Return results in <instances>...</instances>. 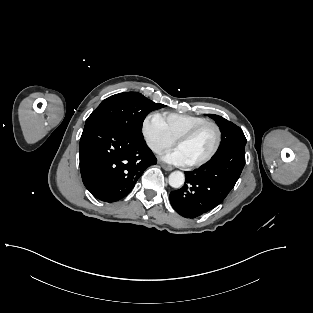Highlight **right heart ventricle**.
<instances>
[{
  "instance_id": "1",
  "label": "right heart ventricle",
  "mask_w": 313,
  "mask_h": 313,
  "mask_svg": "<svg viewBox=\"0 0 313 313\" xmlns=\"http://www.w3.org/2000/svg\"><path fill=\"white\" fill-rule=\"evenodd\" d=\"M160 116L173 140H176L180 135L197 126L198 124L207 121L206 118L201 116L175 112H165L160 114Z\"/></svg>"
}]
</instances>
